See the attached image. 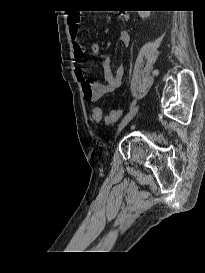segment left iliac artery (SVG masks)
<instances>
[{
    "instance_id": "1",
    "label": "left iliac artery",
    "mask_w": 205,
    "mask_h": 273,
    "mask_svg": "<svg viewBox=\"0 0 205 273\" xmlns=\"http://www.w3.org/2000/svg\"><path fill=\"white\" fill-rule=\"evenodd\" d=\"M136 105V99H134L130 105L129 110H131L132 108H134V106Z\"/></svg>"
}]
</instances>
